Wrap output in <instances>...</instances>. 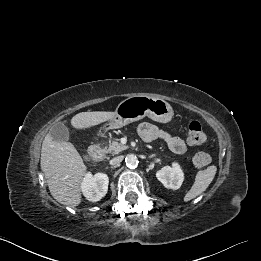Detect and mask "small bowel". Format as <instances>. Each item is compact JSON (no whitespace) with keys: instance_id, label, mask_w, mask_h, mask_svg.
I'll return each instance as SVG.
<instances>
[{"instance_id":"c3829d8e","label":"small bowel","mask_w":261,"mask_h":261,"mask_svg":"<svg viewBox=\"0 0 261 261\" xmlns=\"http://www.w3.org/2000/svg\"><path fill=\"white\" fill-rule=\"evenodd\" d=\"M138 132L146 142H151L155 139L164 140L169 148L176 154L183 155L187 152L185 141L177 136H172L169 133L159 129L157 126L150 123H143L139 126Z\"/></svg>"}]
</instances>
